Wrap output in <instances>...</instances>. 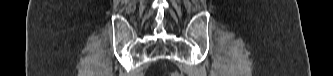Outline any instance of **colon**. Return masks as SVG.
I'll return each instance as SVG.
<instances>
[{
    "mask_svg": "<svg viewBox=\"0 0 333 76\" xmlns=\"http://www.w3.org/2000/svg\"><path fill=\"white\" fill-rule=\"evenodd\" d=\"M174 76H178L179 74L178 73H173Z\"/></svg>",
    "mask_w": 333,
    "mask_h": 76,
    "instance_id": "5ec220e1",
    "label": "colon"
}]
</instances>
